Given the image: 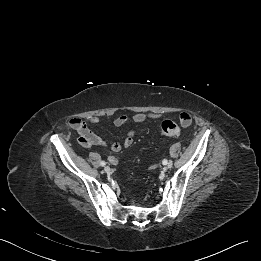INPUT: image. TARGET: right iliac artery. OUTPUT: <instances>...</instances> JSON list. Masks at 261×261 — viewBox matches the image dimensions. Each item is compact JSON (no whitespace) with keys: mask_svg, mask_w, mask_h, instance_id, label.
Listing matches in <instances>:
<instances>
[{"mask_svg":"<svg viewBox=\"0 0 261 261\" xmlns=\"http://www.w3.org/2000/svg\"><path fill=\"white\" fill-rule=\"evenodd\" d=\"M100 165H101V166H105V165H106V162L101 161V162H100Z\"/></svg>","mask_w":261,"mask_h":261,"instance_id":"82829eb1","label":"right iliac artery"}]
</instances>
